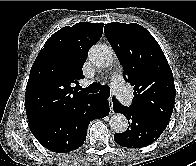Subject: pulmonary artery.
I'll return each mask as SVG.
<instances>
[{"mask_svg": "<svg viewBox=\"0 0 196 166\" xmlns=\"http://www.w3.org/2000/svg\"><path fill=\"white\" fill-rule=\"evenodd\" d=\"M111 87L115 95L123 104H129L131 101V95L127 91L126 85L120 74L113 75L111 79Z\"/></svg>", "mask_w": 196, "mask_h": 166, "instance_id": "1", "label": "pulmonary artery"}]
</instances>
